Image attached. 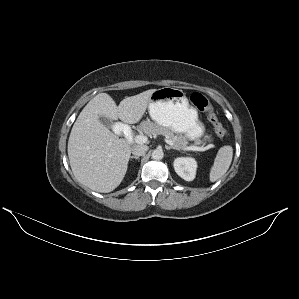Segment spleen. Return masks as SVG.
I'll return each mask as SVG.
<instances>
[{
	"instance_id": "1",
	"label": "spleen",
	"mask_w": 299,
	"mask_h": 299,
	"mask_svg": "<svg viewBox=\"0 0 299 299\" xmlns=\"http://www.w3.org/2000/svg\"><path fill=\"white\" fill-rule=\"evenodd\" d=\"M232 157V146L226 145L219 149L209 173V179L211 182L217 181L227 172L231 165Z\"/></svg>"
}]
</instances>
